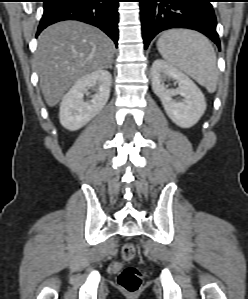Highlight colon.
Listing matches in <instances>:
<instances>
[{"mask_svg":"<svg viewBox=\"0 0 248 299\" xmlns=\"http://www.w3.org/2000/svg\"><path fill=\"white\" fill-rule=\"evenodd\" d=\"M136 255V246L132 242H127L122 247V257L125 261H131ZM142 273L133 266L123 269L117 278L118 286L128 294L137 293L142 286Z\"/></svg>","mask_w":248,"mask_h":299,"instance_id":"obj_1","label":"colon"}]
</instances>
